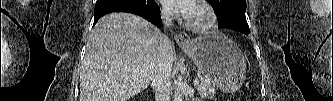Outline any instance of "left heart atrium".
<instances>
[{"instance_id": "1", "label": "left heart atrium", "mask_w": 333, "mask_h": 101, "mask_svg": "<svg viewBox=\"0 0 333 101\" xmlns=\"http://www.w3.org/2000/svg\"><path fill=\"white\" fill-rule=\"evenodd\" d=\"M163 6L172 14L189 17L193 11L194 2L192 0H164Z\"/></svg>"}]
</instances>
